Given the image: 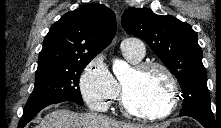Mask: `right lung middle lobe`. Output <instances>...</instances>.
Masks as SVG:
<instances>
[{
	"mask_svg": "<svg viewBox=\"0 0 221 128\" xmlns=\"http://www.w3.org/2000/svg\"><path fill=\"white\" fill-rule=\"evenodd\" d=\"M91 60L92 58L78 60L61 67L37 70L34 90L24 110L52 101H72L83 105L79 77Z\"/></svg>",
	"mask_w": 221,
	"mask_h": 128,
	"instance_id": "1",
	"label": "right lung middle lobe"
}]
</instances>
